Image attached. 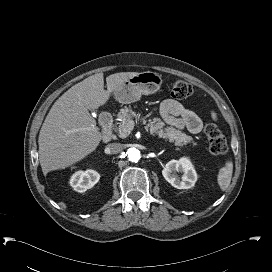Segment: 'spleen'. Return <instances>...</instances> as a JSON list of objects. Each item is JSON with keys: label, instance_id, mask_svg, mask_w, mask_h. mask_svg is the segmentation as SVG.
Returning a JSON list of instances; mask_svg holds the SVG:
<instances>
[{"label": "spleen", "instance_id": "spleen-1", "mask_svg": "<svg viewBox=\"0 0 272 272\" xmlns=\"http://www.w3.org/2000/svg\"><path fill=\"white\" fill-rule=\"evenodd\" d=\"M233 172V163L227 161L225 166L220 169L218 174V184L222 190H226L230 185Z\"/></svg>", "mask_w": 272, "mask_h": 272}]
</instances>
